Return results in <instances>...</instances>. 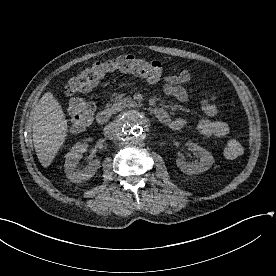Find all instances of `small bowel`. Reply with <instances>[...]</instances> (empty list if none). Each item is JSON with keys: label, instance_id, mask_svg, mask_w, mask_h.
Segmentation results:
<instances>
[{"label": "small bowel", "instance_id": "c3829d8e", "mask_svg": "<svg viewBox=\"0 0 276 276\" xmlns=\"http://www.w3.org/2000/svg\"><path fill=\"white\" fill-rule=\"evenodd\" d=\"M171 74L163 81V90L167 95H170L181 102H187L192 97V89L186 88L184 84L190 82L191 74L185 69H180L177 66H168ZM202 111L210 118L218 114V108L215 104H208L203 101ZM173 130H180L187 126L188 121L184 118H172L166 123ZM197 131L203 136L224 137L229 133V126L221 120H213L204 118L196 123Z\"/></svg>", "mask_w": 276, "mask_h": 276}]
</instances>
